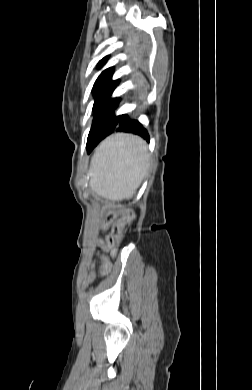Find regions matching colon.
I'll return each instance as SVG.
<instances>
[{"label":"colon","instance_id":"1","mask_svg":"<svg viewBox=\"0 0 252 390\" xmlns=\"http://www.w3.org/2000/svg\"><path fill=\"white\" fill-rule=\"evenodd\" d=\"M121 214L122 217L115 222L117 215ZM134 212L132 209L124 205L111 206L105 214L102 227L107 229L111 227L110 232L100 240V246L103 250L110 252L114 257L117 253L118 246L122 241V230L126 223L133 218ZM111 269V263L108 257L101 256V266L99 269L100 276H106Z\"/></svg>","mask_w":252,"mask_h":390}]
</instances>
